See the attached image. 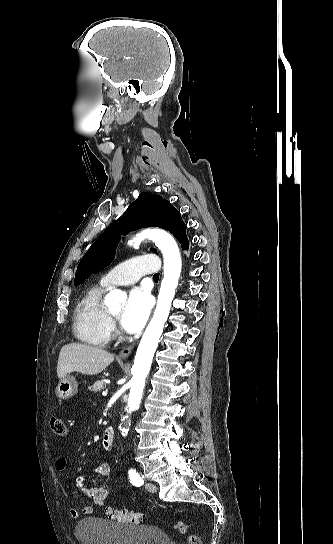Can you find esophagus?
I'll return each mask as SVG.
<instances>
[{
	"mask_svg": "<svg viewBox=\"0 0 333 544\" xmlns=\"http://www.w3.org/2000/svg\"><path fill=\"white\" fill-rule=\"evenodd\" d=\"M133 348H134V345H130V346L125 347L124 349H122L119 352L118 357L121 358V359L128 358L130 356V354L132 353Z\"/></svg>",
	"mask_w": 333,
	"mask_h": 544,
	"instance_id": "1",
	"label": "esophagus"
}]
</instances>
